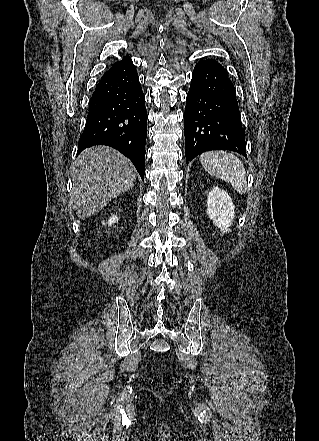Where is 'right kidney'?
I'll list each match as a JSON object with an SVG mask.
<instances>
[{"mask_svg":"<svg viewBox=\"0 0 319 441\" xmlns=\"http://www.w3.org/2000/svg\"><path fill=\"white\" fill-rule=\"evenodd\" d=\"M116 222H118V217L113 215L112 217H110V219L108 220V225L112 226L113 224H115ZM102 224H105L104 221H102Z\"/></svg>","mask_w":319,"mask_h":441,"instance_id":"right-kidney-1","label":"right kidney"}]
</instances>
